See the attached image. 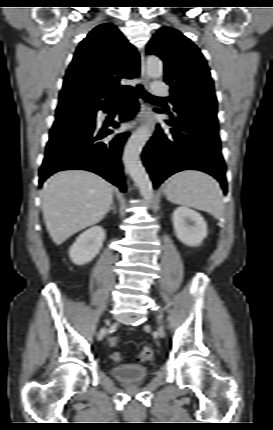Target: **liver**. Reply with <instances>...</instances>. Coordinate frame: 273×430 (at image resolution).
I'll list each match as a JSON object with an SVG mask.
<instances>
[{
	"instance_id": "1",
	"label": "liver",
	"mask_w": 273,
	"mask_h": 430,
	"mask_svg": "<svg viewBox=\"0 0 273 430\" xmlns=\"http://www.w3.org/2000/svg\"><path fill=\"white\" fill-rule=\"evenodd\" d=\"M113 187L97 174L81 169L51 176L41 191L43 218L56 245L97 224L113 202Z\"/></svg>"
}]
</instances>
